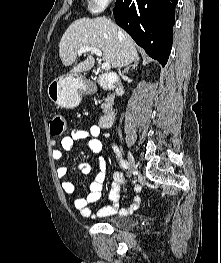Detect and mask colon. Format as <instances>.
Returning <instances> with one entry per match:
<instances>
[{"mask_svg":"<svg viewBox=\"0 0 221 263\" xmlns=\"http://www.w3.org/2000/svg\"><path fill=\"white\" fill-rule=\"evenodd\" d=\"M66 120L61 114H55L49 121V131L52 137H59L66 131Z\"/></svg>","mask_w":221,"mask_h":263,"instance_id":"colon-1","label":"colon"}]
</instances>
